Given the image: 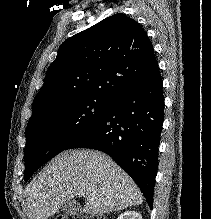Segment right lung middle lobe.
Segmentation results:
<instances>
[{"label":"right lung middle lobe","mask_w":211,"mask_h":219,"mask_svg":"<svg viewBox=\"0 0 211 219\" xmlns=\"http://www.w3.org/2000/svg\"><path fill=\"white\" fill-rule=\"evenodd\" d=\"M112 100L99 97L67 102L49 114L29 120L24 151V179L45 162L67 149L76 139L95 125Z\"/></svg>","instance_id":"right-lung-middle-lobe-1"}]
</instances>
